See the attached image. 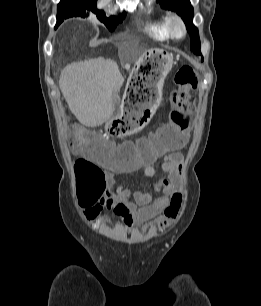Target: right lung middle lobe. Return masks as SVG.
<instances>
[{"label": "right lung middle lobe", "mask_w": 261, "mask_h": 306, "mask_svg": "<svg viewBox=\"0 0 261 306\" xmlns=\"http://www.w3.org/2000/svg\"><path fill=\"white\" fill-rule=\"evenodd\" d=\"M97 0H74L65 3H59L57 7V26L65 18L80 16L89 17L90 13L97 14L98 19L103 22L110 31H114L117 25L122 22L125 17V12L118 17L111 16L106 18L103 11L96 9Z\"/></svg>", "instance_id": "obj_1"}]
</instances>
